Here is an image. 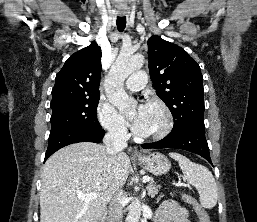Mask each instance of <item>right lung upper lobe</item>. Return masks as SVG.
Segmentation results:
<instances>
[{"mask_svg":"<svg viewBox=\"0 0 257 222\" xmlns=\"http://www.w3.org/2000/svg\"><path fill=\"white\" fill-rule=\"evenodd\" d=\"M101 55L96 42L72 54L56 75L52 101L100 95Z\"/></svg>","mask_w":257,"mask_h":222,"instance_id":"cb5924a9","label":"right lung upper lobe"}]
</instances>
